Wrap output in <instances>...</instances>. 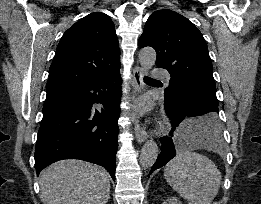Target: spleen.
Returning <instances> with one entry per match:
<instances>
[{
    "label": "spleen",
    "instance_id": "obj_1",
    "mask_svg": "<svg viewBox=\"0 0 261 204\" xmlns=\"http://www.w3.org/2000/svg\"><path fill=\"white\" fill-rule=\"evenodd\" d=\"M207 117L184 121L178 131L188 134L191 148L214 149L218 140L198 137L195 130ZM167 183L188 204H211L217 195L221 173L216 165L207 157L194 153L190 148L181 150L176 157L167 163L164 169Z\"/></svg>",
    "mask_w": 261,
    "mask_h": 204
}]
</instances>
